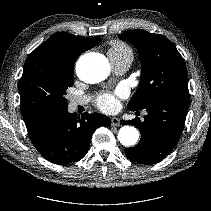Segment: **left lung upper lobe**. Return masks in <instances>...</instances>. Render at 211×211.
Here are the masks:
<instances>
[{
    "mask_svg": "<svg viewBox=\"0 0 211 211\" xmlns=\"http://www.w3.org/2000/svg\"><path fill=\"white\" fill-rule=\"evenodd\" d=\"M119 37L132 43L141 59L139 89L128 104L130 110L144 109L170 94H189L185 62L166 37L137 29L123 32Z\"/></svg>",
    "mask_w": 211,
    "mask_h": 211,
    "instance_id": "obj_1",
    "label": "left lung upper lobe"
}]
</instances>
